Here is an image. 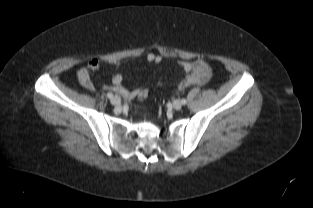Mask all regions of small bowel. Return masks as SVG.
<instances>
[{
  "mask_svg": "<svg viewBox=\"0 0 313 208\" xmlns=\"http://www.w3.org/2000/svg\"><path fill=\"white\" fill-rule=\"evenodd\" d=\"M146 60L151 63H160L162 57L155 53H148ZM118 65V64H117ZM180 65L186 73L185 79L179 84L180 89L187 88L191 85L205 84L211 77V69L203 60L182 61ZM100 61L96 58L90 59L87 65L77 72V78L80 85L86 90L93 92L95 87L91 79V73L98 70ZM105 89L112 90L126 99H133L138 95L139 90H129L123 85V77L121 73H116L112 77V84L105 85Z\"/></svg>",
  "mask_w": 313,
  "mask_h": 208,
  "instance_id": "1",
  "label": "small bowel"
}]
</instances>
